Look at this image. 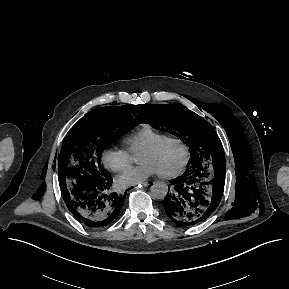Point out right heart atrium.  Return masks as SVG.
<instances>
[{
  "label": "right heart atrium",
  "mask_w": 289,
  "mask_h": 289,
  "mask_svg": "<svg viewBox=\"0 0 289 289\" xmlns=\"http://www.w3.org/2000/svg\"><path fill=\"white\" fill-rule=\"evenodd\" d=\"M101 161L109 170L120 172L130 165V151L119 146H108L101 153Z\"/></svg>",
  "instance_id": "1"
}]
</instances>
